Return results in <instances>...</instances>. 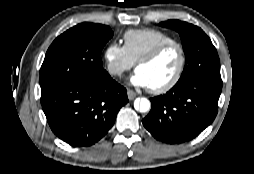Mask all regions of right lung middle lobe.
<instances>
[{
  "label": "right lung middle lobe",
  "mask_w": 254,
  "mask_h": 174,
  "mask_svg": "<svg viewBox=\"0 0 254 174\" xmlns=\"http://www.w3.org/2000/svg\"><path fill=\"white\" fill-rule=\"evenodd\" d=\"M112 36L109 26L81 23L57 37L40 69L41 90L106 75L100 53Z\"/></svg>",
  "instance_id": "dd1d6c3e"
}]
</instances>
